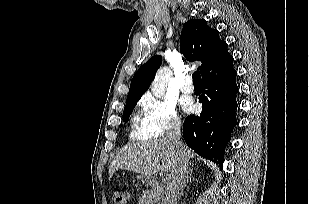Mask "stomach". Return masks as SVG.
<instances>
[{
	"label": "stomach",
	"instance_id": "1",
	"mask_svg": "<svg viewBox=\"0 0 309 204\" xmlns=\"http://www.w3.org/2000/svg\"><path fill=\"white\" fill-rule=\"evenodd\" d=\"M136 178L140 180L143 184L149 185L151 183V177L145 176V175H137Z\"/></svg>",
	"mask_w": 309,
	"mask_h": 204
}]
</instances>
